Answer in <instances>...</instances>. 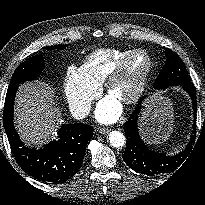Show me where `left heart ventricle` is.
<instances>
[{"label":"left heart ventricle","mask_w":205,"mask_h":205,"mask_svg":"<svg viewBox=\"0 0 205 205\" xmlns=\"http://www.w3.org/2000/svg\"><path fill=\"white\" fill-rule=\"evenodd\" d=\"M147 63L148 60L144 54L135 55L129 61L123 76L113 85L110 96L119 101L127 98L140 81Z\"/></svg>","instance_id":"1"}]
</instances>
